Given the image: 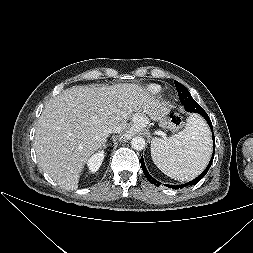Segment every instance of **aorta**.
<instances>
[{
  "mask_svg": "<svg viewBox=\"0 0 253 253\" xmlns=\"http://www.w3.org/2000/svg\"><path fill=\"white\" fill-rule=\"evenodd\" d=\"M145 140L142 137H134L131 140V146L134 150L141 151L145 148Z\"/></svg>",
  "mask_w": 253,
  "mask_h": 253,
  "instance_id": "aorta-1",
  "label": "aorta"
}]
</instances>
